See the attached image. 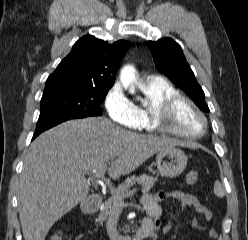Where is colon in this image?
<instances>
[{
	"label": "colon",
	"mask_w": 248,
	"mask_h": 240,
	"mask_svg": "<svg viewBox=\"0 0 248 240\" xmlns=\"http://www.w3.org/2000/svg\"><path fill=\"white\" fill-rule=\"evenodd\" d=\"M198 181V173L196 171H190L186 175V182L189 185H194ZM50 240H62V235L60 233L54 234Z\"/></svg>",
	"instance_id": "obj_1"
}]
</instances>
